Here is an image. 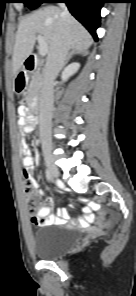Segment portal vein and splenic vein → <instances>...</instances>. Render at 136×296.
<instances>
[{
    "instance_id": "obj_1",
    "label": "portal vein and splenic vein",
    "mask_w": 136,
    "mask_h": 296,
    "mask_svg": "<svg viewBox=\"0 0 136 296\" xmlns=\"http://www.w3.org/2000/svg\"><path fill=\"white\" fill-rule=\"evenodd\" d=\"M37 41L39 43V54L44 57L48 52V44L44 41L42 35H37Z\"/></svg>"
}]
</instances>
